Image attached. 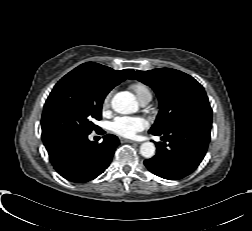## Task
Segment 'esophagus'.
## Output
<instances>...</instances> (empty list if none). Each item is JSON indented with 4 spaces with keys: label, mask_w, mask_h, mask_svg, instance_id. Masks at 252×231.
Here are the masks:
<instances>
[{
    "label": "esophagus",
    "mask_w": 252,
    "mask_h": 231,
    "mask_svg": "<svg viewBox=\"0 0 252 231\" xmlns=\"http://www.w3.org/2000/svg\"><path fill=\"white\" fill-rule=\"evenodd\" d=\"M120 142H121V143H135L134 141L129 140V139H125V138H121V139H120Z\"/></svg>",
    "instance_id": "1"
}]
</instances>
